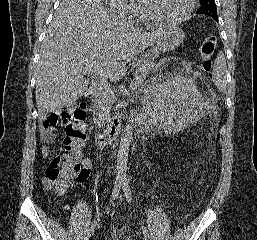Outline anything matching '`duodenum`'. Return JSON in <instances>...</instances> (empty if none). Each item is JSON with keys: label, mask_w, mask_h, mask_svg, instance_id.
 <instances>
[{"label": "duodenum", "mask_w": 257, "mask_h": 240, "mask_svg": "<svg viewBox=\"0 0 257 240\" xmlns=\"http://www.w3.org/2000/svg\"><path fill=\"white\" fill-rule=\"evenodd\" d=\"M95 92V88L93 86H90L85 91V97L92 98L95 95ZM123 118L124 114H117L107 123L103 131L97 135L96 145L99 148L107 147L115 140L119 133L121 121L123 120Z\"/></svg>", "instance_id": "obj_1"}]
</instances>
